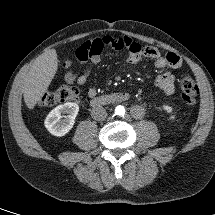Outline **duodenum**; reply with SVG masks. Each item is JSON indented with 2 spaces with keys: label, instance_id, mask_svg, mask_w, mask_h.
<instances>
[{
  "label": "duodenum",
  "instance_id": "410a0bca",
  "mask_svg": "<svg viewBox=\"0 0 215 215\" xmlns=\"http://www.w3.org/2000/svg\"><path fill=\"white\" fill-rule=\"evenodd\" d=\"M130 98L127 92H115L95 97L91 100L93 107L105 106L109 104H118L127 101Z\"/></svg>",
  "mask_w": 215,
  "mask_h": 215
}]
</instances>
